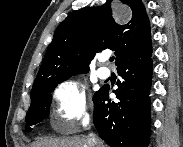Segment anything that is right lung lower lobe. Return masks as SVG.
<instances>
[{
	"instance_id": "98d812e1",
	"label": "right lung lower lobe",
	"mask_w": 183,
	"mask_h": 147,
	"mask_svg": "<svg viewBox=\"0 0 183 147\" xmlns=\"http://www.w3.org/2000/svg\"><path fill=\"white\" fill-rule=\"evenodd\" d=\"M152 50L129 58L117 66L122 81L113 92L119 102L109 99V88L94 96V124L110 147H147L149 144Z\"/></svg>"
}]
</instances>
